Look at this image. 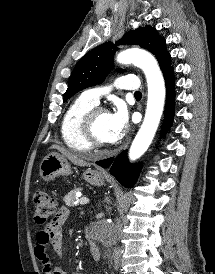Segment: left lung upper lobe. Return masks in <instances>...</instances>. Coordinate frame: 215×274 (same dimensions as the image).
Wrapping results in <instances>:
<instances>
[{
  "label": "left lung upper lobe",
  "mask_w": 215,
  "mask_h": 274,
  "mask_svg": "<svg viewBox=\"0 0 215 274\" xmlns=\"http://www.w3.org/2000/svg\"><path fill=\"white\" fill-rule=\"evenodd\" d=\"M132 44L139 45L153 53L162 69L166 72L171 68L170 55L165 49V40L151 26L139 27L126 33L116 42V45ZM116 45L111 42L104 43L87 53L75 66L68 88L64 94V102L75 93L96 84H100L112 65Z\"/></svg>",
  "instance_id": "5c2ea615"
}]
</instances>
